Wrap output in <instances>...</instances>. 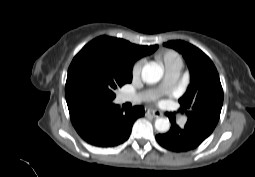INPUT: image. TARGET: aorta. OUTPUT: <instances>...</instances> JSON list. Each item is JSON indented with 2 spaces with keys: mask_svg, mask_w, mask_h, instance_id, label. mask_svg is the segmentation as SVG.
<instances>
[{
  "mask_svg": "<svg viewBox=\"0 0 255 177\" xmlns=\"http://www.w3.org/2000/svg\"><path fill=\"white\" fill-rule=\"evenodd\" d=\"M163 76V70L156 64H146L142 69V79L146 83H156ZM155 128L161 133H165L170 129V122L166 118H158L155 121Z\"/></svg>",
  "mask_w": 255,
  "mask_h": 177,
  "instance_id": "obj_1",
  "label": "aorta"
}]
</instances>
